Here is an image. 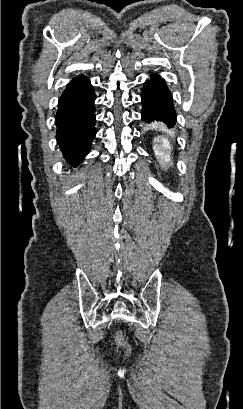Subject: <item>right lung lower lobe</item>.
Listing matches in <instances>:
<instances>
[{
	"label": "right lung lower lobe",
	"mask_w": 243,
	"mask_h": 409,
	"mask_svg": "<svg viewBox=\"0 0 243 409\" xmlns=\"http://www.w3.org/2000/svg\"><path fill=\"white\" fill-rule=\"evenodd\" d=\"M95 99L90 80L85 77L72 80L59 99L56 138L65 158L73 165L83 160L95 137Z\"/></svg>",
	"instance_id": "obj_1"
}]
</instances>
